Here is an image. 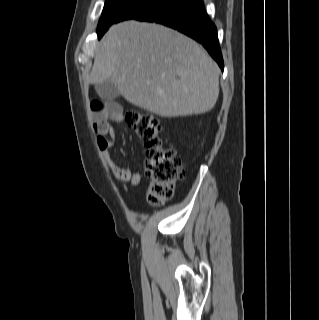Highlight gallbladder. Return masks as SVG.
<instances>
[{
    "label": "gallbladder",
    "instance_id": "obj_1",
    "mask_svg": "<svg viewBox=\"0 0 319 320\" xmlns=\"http://www.w3.org/2000/svg\"><path fill=\"white\" fill-rule=\"evenodd\" d=\"M95 89L98 95L106 101L113 100L120 95L117 86L111 80L96 84Z\"/></svg>",
    "mask_w": 319,
    "mask_h": 320
}]
</instances>
